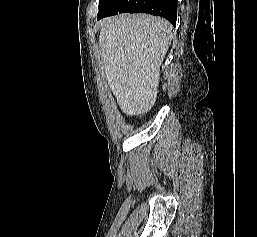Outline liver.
I'll return each mask as SVG.
<instances>
[{
  "label": "liver",
  "mask_w": 257,
  "mask_h": 237,
  "mask_svg": "<svg viewBox=\"0 0 257 237\" xmlns=\"http://www.w3.org/2000/svg\"><path fill=\"white\" fill-rule=\"evenodd\" d=\"M172 30L166 20L145 14H121L100 22L106 79L124 113L143 114L154 106Z\"/></svg>",
  "instance_id": "liver-1"
}]
</instances>
